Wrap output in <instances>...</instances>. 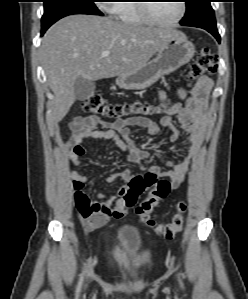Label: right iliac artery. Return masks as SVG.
Instances as JSON below:
<instances>
[{
	"label": "right iliac artery",
	"instance_id": "1",
	"mask_svg": "<svg viewBox=\"0 0 248 299\" xmlns=\"http://www.w3.org/2000/svg\"><path fill=\"white\" fill-rule=\"evenodd\" d=\"M82 280H83V276L80 278L79 284H78V286H77V291H76L77 295H78V293L80 292L81 285H82Z\"/></svg>",
	"mask_w": 248,
	"mask_h": 299
}]
</instances>
